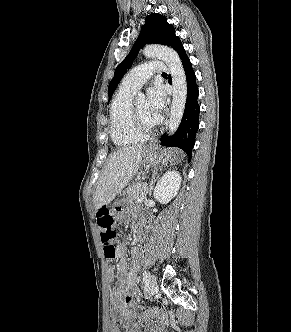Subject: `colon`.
Segmentation results:
<instances>
[{"mask_svg":"<svg viewBox=\"0 0 291 332\" xmlns=\"http://www.w3.org/2000/svg\"><path fill=\"white\" fill-rule=\"evenodd\" d=\"M97 222L100 230L105 257L107 259H114L116 257L117 249L115 217L109 209L102 208L97 214ZM117 322L118 321L116 319L112 321L110 332H121Z\"/></svg>","mask_w":291,"mask_h":332,"instance_id":"colon-1","label":"colon"}]
</instances>
